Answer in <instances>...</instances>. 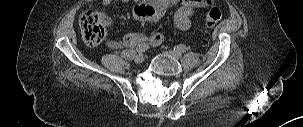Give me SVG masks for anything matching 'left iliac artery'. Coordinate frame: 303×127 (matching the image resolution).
Listing matches in <instances>:
<instances>
[{
  "instance_id": "left-iliac-artery-1",
  "label": "left iliac artery",
  "mask_w": 303,
  "mask_h": 127,
  "mask_svg": "<svg viewBox=\"0 0 303 127\" xmlns=\"http://www.w3.org/2000/svg\"><path fill=\"white\" fill-rule=\"evenodd\" d=\"M174 50H178V51L184 53V52H186L187 48L185 45H178V46H176V48H174Z\"/></svg>"
}]
</instances>
